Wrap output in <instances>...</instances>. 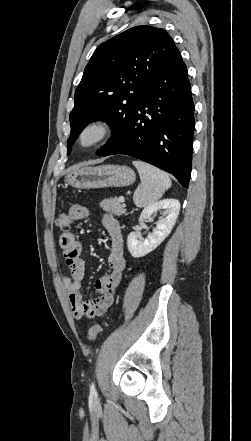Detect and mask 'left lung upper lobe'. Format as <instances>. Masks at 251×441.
<instances>
[{
  "instance_id": "5c2ea615",
  "label": "left lung upper lobe",
  "mask_w": 251,
  "mask_h": 441,
  "mask_svg": "<svg viewBox=\"0 0 251 441\" xmlns=\"http://www.w3.org/2000/svg\"><path fill=\"white\" fill-rule=\"evenodd\" d=\"M175 49L165 30L148 25L133 27L100 44L75 90L68 153L93 120L105 119L113 130L120 129Z\"/></svg>"
}]
</instances>
